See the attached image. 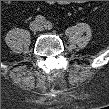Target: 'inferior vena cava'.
Segmentation results:
<instances>
[{
	"mask_svg": "<svg viewBox=\"0 0 109 109\" xmlns=\"http://www.w3.org/2000/svg\"><path fill=\"white\" fill-rule=\"evenodd\" d=\"M31 29H32V30L41 31V30L43 29V27H42L41 25L32 24V25H31Z\"/></svg>",
	"mask_w": 109,
	"mask_h": 109,
	"instance_id": "602c4592",
	"label": "inferior vena cava"
}]
</instances>
